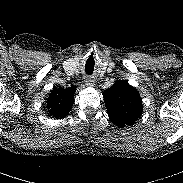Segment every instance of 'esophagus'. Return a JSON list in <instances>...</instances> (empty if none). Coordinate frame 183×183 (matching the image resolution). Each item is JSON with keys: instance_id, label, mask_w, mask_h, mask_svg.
I'll return each mask as SVG.
<instances>
[{"instance_id": "34e87169", "label": "esophagus", "mask_w": 183, "mask_h": 183, "mask_svg": "<svg viewBox=\"0 0 183 183\" xmlns=\"http://www.w3.org/2000/svg\"><path fill=\"white\" fill-rule=\"evenodd\" d=\"M95 79L92 76H87L85 79V83L89 86H93Z\"/></svg>"}]
</instances>
